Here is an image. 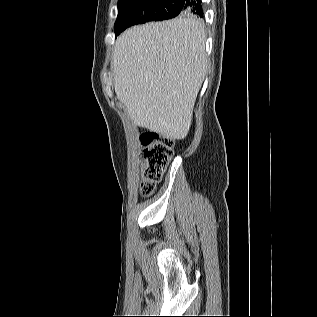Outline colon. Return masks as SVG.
I'll use <instances>...</instances> for the list:
<instances>
[{"mask_svg":"<svg viewBox=\"0 0 317 317\" xmlns=\"http://www.w3.org/2000/svg\"><path fill=\"white\" fill-rule=\"evenodd\" d=\"M141 144L144 150L140 192L142 196H149L154 192L156 183L162 179L173 156L174 141L158 132L147 131L141 135Z\"/></svg>","mask_w":317,"mask_h":317,"instance_id":"colon-1","label":"colon"}]
</instances>
